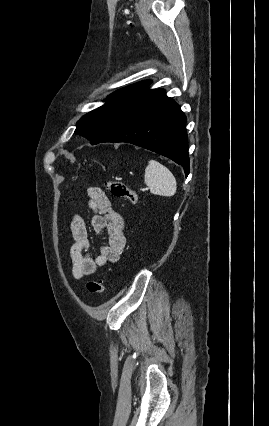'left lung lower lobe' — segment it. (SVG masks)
I'll return each instance as SVG.
<instances>
[{"mask_svg":"<svg viewBox=\"0 0 269 426\" xmlns=\"http://www.w3.org/2000/svg\"><path fill=\"white\" fill-rule=\"evenodd\" d=\"M186 116L163 89L147 86L131 98L102 142H126L170 158L189 174Z\"/></svg>","mask_w":269,"mask_h":426,"instance_id":"obj_1","label":"left lung lower lobe"}]
</instances>
